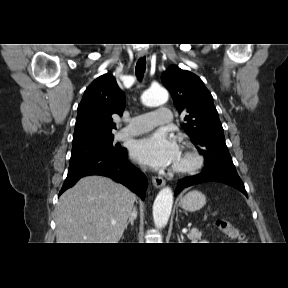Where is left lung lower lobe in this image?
Segmentation results:
<instances>
[{
  "label": "left lung lower lobe",
  "instance_id": "obj_1",
  "mask_svg": "<svg viewBox=\"0 0 288 288\" xmlns=\"http://www.w3.org/2000/svg\"><path fill=\"white\" fill-rule=\"evenodd\" d=\"M203 182H220L232 186L241 191L245 196L247 192L244 184L238 174L227 173L219 170L203 171L197 175L185 177L178 181L175 194H178L183 188Z\"/></svg>",
  "mask_w": 288,
  "mask_h": 288
}]
</instances>
